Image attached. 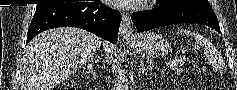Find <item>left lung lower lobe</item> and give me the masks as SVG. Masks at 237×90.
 Here are the masks:
<instances>
[{"label": "left lung lower lobe", "mask_w": 237, "mask_h": 90, "mask_svg": "<svg viewBox=\"0 0 237 90\" xmlns=\"http://www.w3.org/2000/svg\"><path fill=\"white\" fill-rule=\"evenodd\" d=\"M131 18L138 32L170 24L197 23L210 26L221 33L216 15L209 10L161 5L160 8L154 10L136 12L132 14Z\"/></svg>", "instance_id": "left-lung-lower-lobe-1"}]
</instances>
